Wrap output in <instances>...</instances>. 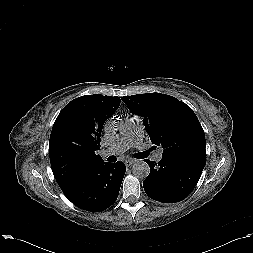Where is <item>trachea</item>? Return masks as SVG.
I'll return each mask as SVG.
<instances>
[{
  "mask_svg": "<svg viewBox=\"0 0 253 253\" xmlns=\"http://www.w3.org/2000/svg\"><path fill=\"white\" fill-rule=\"evenodd\" d=\"M146 156H148V152H142L139 154V158H145Z\"/></svg>",
  "mask_w": 253,
  "mask_h": 253,
  "instance_id": "3493384b",
  "label": "trachea"
}]
</instances>
